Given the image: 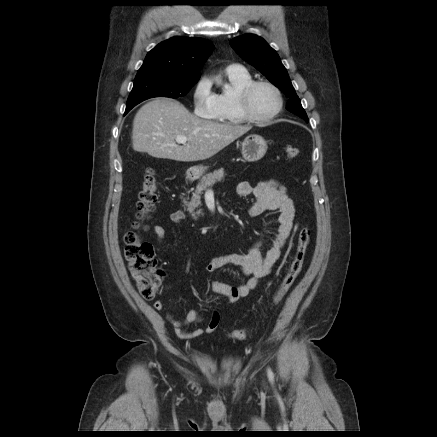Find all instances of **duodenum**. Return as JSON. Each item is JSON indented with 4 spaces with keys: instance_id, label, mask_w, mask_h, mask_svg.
Returning a JSON list of instances; mask_svg holds the SVG:
<instances>
[{
    "instance_id": "1",
    "label": "duodenum",
    "mask_w": 437,
    "mask_h": 437,
    "mask_svg": "<svg viewBox=\"0 0 437 437\" xmlns=\"http://www.w3.org/2000/svg\"><path fill=\"white\" fill-rule=\"evenodd\" d=\"M194 177V174L192 172H188L186 174V179L191 180Z\"/></svg>"
}]
</instances>
